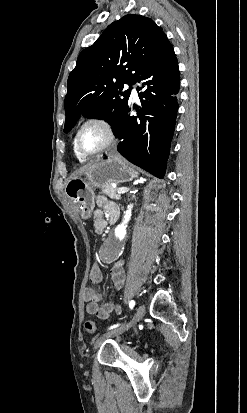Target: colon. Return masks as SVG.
<instances>
[{"mask_svg":"<svg viewBox=\"0 0 247 413\" xmlns=\"http://www.w3.org/2000/svg\"><path fill=\"white\" fill-rule=\"evenodd\" d=\"M101 278V265L95 263L88 268V279L99 280ZM84 330L87 333H94L96 331V324L93 319H85Z\"/></svg>","mask_w":247,"mask_h":413,"instance_id":"1","label":"colon"}]
</instances>
